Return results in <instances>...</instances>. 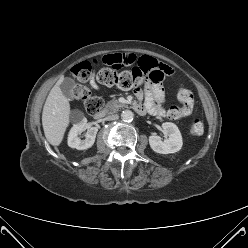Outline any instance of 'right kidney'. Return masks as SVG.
<instances>
[{"label":"right kidney","mask_w":248,"mask_h":248,"mask_svg":"<svg viewBox=\"0 0 248 248\" xmlns=\"http://www.w3.org/2000/svg\"><path fill=\"white\" fill-rule=\"evenodd\" d=\"M73 120L75 124L68 135V146L77 150H85L90 148L95 142L98 128L91 127L88 129L86 138L81 140L78 134L84 130L87 119L81 113L76 112Z\"/></svg>","instance_id":"ca27d5eb"}]
</instances>
